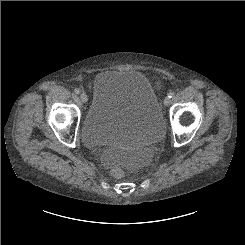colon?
<instances>
[{"mask_svg":"<svg viewBox=\"0 0 245 245\" xmlns=\"http://www.w3.org/2000/svg\"><path fill=\"white\" fill-rule=\"evenodd\" d=\"M113 175L116 177H122L124 176L125 169L122 166H115L112 170Z\"/></svg>","mask_w":245,"mask_h":245,"instance_id":"colon-1","label":"colon"}]
</instances>
